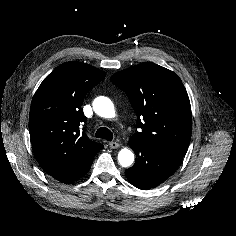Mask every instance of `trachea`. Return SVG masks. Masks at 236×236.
<instances>
[{"instance_id": "3493384b", "label": "trachea", "mask_w": 236, "mask_h": 236, "mask_svg": "<svg viewBox=\"0 0 236 236\" xmlns=\"http://www.w3.org/2000/svg\"><path fill=\"white\" fill-rule=\"evenodd\" d=\"M95 136L97 138H102V139H105L107 141H112V139H113V133L106 127L99 128L96 131Z\"/></svg>"}]
</instances>
